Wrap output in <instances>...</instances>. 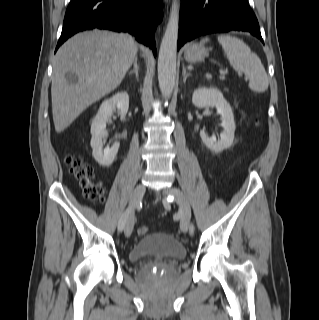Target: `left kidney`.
I'll return each instance as SVG.
<instances>
[{
  "instance_id": "1",
  "label": "left kidney",
  "mask_w": 319,
  "mask_h": 320,
  "mask_svg": "<svg viewBox=\"0 0 319 320\" xmlns=\"http://www.w3.org/2000/svg\"><path fill=\"white\" fill-rule=\"evenodd\" d=\"M192 103L198 108L215 107L217 113L221 115V126L223 132L220 139L215 136H208L204 130L200 131L203 143L213 152L220 153L229 148L234 141L235 122L232 109L224 99L223 94L215 87H199L193 92Z\"/></svg>"
}]
</instances>
